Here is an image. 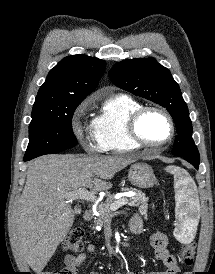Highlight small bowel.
<instances>
[{
	"label": "small bowel",
	"mask_w": 215,
	"mask_h": 274,
	"mask_svg": "<svg viewBox=\"0 0 215 274\" xmlns=\"http://www.w3.org/2000/svg\"><path fill=\"white\" fill-rule=\"evenodd\" d=\"M131 230L141 231L143 228V221L139 215H134L129 223ZM150 243L154 251V255L157 259L161 260L165 266L162 271L152 272L148 274H177L179 272V267L176 257L169 251L168 239L165 234L161 231H155L151 238ZM95 245L89 243L84 252L78 255H67L64 259L65 268L69 274H78L79 267L85 262L88 254L94 253ZM90 274H100L99 272H91ZM115 274H122L116 272ZM130 274H140L138 272H131ZM183 274H191L190 272H185Z\"/></svg>",
	"instance_id": "obj_1"
}]
</instances>
